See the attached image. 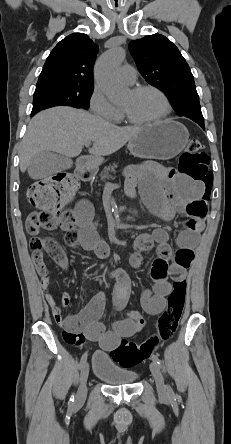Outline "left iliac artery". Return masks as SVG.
<instances>
[{"instance_id":"obj_1","label":"left iliac artery","mask_w":231,"mask_h":444,"mask_svg":"<svg viewBox=\"0 0 231 444\" xmlns=\"http://www.w3.org/2000/svg\"><path fill=\"white\" fill-rule=\"evenodd\" d=\"M152 360H153L154 362H156V364H157L159 367L162 366L161 361H160V359L158 358L157 355L153 354V355H152ZM168 393H169L170 395H174V392H173V390H172V388H171L170 386H168Z\"/></svg>"}]
</instances>
